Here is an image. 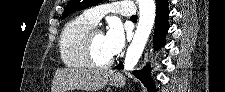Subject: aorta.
I'll use <instances>...</instances> for the list:
<instances>
[{
	"mask_svg": "<svg viewBox=\"0 0 225 92\" xmlns=\"http://www.w3.org/2000/svg\"><path fill=\"white\" fill-rule=\"evenodd\" d=\"M138 4L140 10L139 23L134 38L126 53L124 61V68L126 70H132L136 66L140 56L142 55L143 49L147 43L155 21V1L138 0Z\"/></svg>",
	"mask_w": 225,
	"mask_h": 92,
	"instance_id": "762f6f07",
	"label": "aorta"
}]
</instances>
